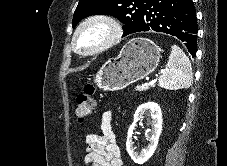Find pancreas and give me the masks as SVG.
<instances>
[{
  "mask_svg": "<svg viewBox=\"0 0 227 166\" xmlns=\"http://www.w3.org/2000/svg\"><path fill=\"white\" fill-rule=\"evenodd\" d=\"M148 89H149V86H147V87L137 86V87H136V90H137V91H144V90H148Z\"/></svg>",
  "mask_w": 227,
  "mask_h": 166,
  "instance_id": "obj_1",
  "label": "pancreas"
}]
</instances>
